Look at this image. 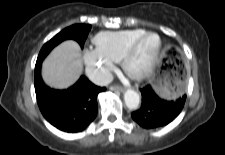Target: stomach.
<instances>
[{
	"label": "stomach",
	"instance_id": "stomach-1",
	"mask_svg": "<svg viewBox=\"0 0 225 155\" xmlns=\"http://www.w3.org/2000/svg\"><path fill=\"white\" fill-rule=\"evenodd\" d=\"M154 91L167 100L176 99L183 93L184 79L174 69H163L161 65L150 79Z\"/></svg>",
	"mask_w": 225,
	"mask_h": 155
}]
</instances>
